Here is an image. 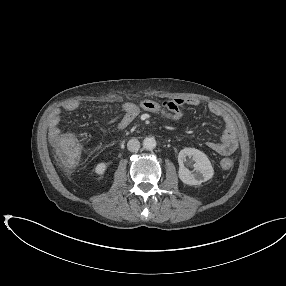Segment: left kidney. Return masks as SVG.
I'll list each match as a JSON object with an SVG mask.
<instances>
[{"mask_svg":"<svg viewBox=\"0 0 286 286\" xmlns=\"http://www.w3.org/2000/svg\"><path fill=\"white\" fill-rule=\"evenodd\" d=\"M186 157L194 160V171L185 167ZM179 178L188 185H199L206 182L214 175V169L207 155L195 148H184L178 154Z\"/></svg>","mask_w":286,"mask_h":286,"instance_id":"left-kidney-1","label":"left kidney"}]
</instances>
